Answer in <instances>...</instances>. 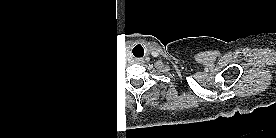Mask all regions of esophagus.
<instances>
[{
  "label": "esophagus",
  "instance_id": "obj_1",
  "mask_svg": "<svg viewBox=\"0 0 276 138\" xmlns=\"http://www.w3.org/2000/svg\"><path fill=\"white\" fill-rule=\"evenodd\" d=\"M137 62H142L141 60H137Z\"/></svg>",
  "mask_w": 276,
  "mask_h": 138
}]
</instances>
